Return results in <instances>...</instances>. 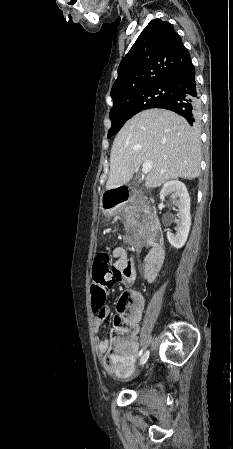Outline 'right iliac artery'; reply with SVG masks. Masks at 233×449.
<instances>
[{"mask_svg":"<svg viewBox=\"0 0 233 449\" xmlns=\"http://www.w3.org/2000/svg\"><path fill=\"white\" fill-rule=\"evenodd\" d=\"M141 354H142V350L139 352L138 356H141ZM143 356H145V361H147V359L149 357V351H146Z\"/></svg>","mask_w":233,"mask_h":449,"instance_id":"obj_1","label":"right iliac artery"}]
</instances>
